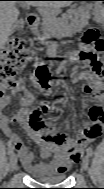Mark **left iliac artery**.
<instances>
[{"label":"left iliac artery","mask_w":104,"mask_h":189,"mask_svg":"<svg viewBox=\"0 0 104 189\" xmlns=\"http://www.w3.org/2000/svg\"><path fill=\"white\" fill-rule=\"evenodd\" d=\"M87 155L91 157L93 155V150L91 148L87 149Z\"/></svg>","instance_id":"1"}]
</instances>
